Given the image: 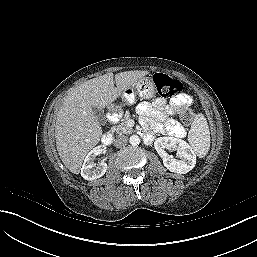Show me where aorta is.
<instances>
[{"mask_svg": "<svg viewBox=\"0 0 257 257\" xmlns=\"http://www.w3.org/2000/svg\"><path fill=\"white\" fill-rule=\"evenodd\" d=\"M129 143L132 145V146H137L140 144V137L138 135H132L130 136L129 138Z\"/></svg>", "mask_w": 257, "mask_h": 257, "instance_id": "obj_1", "label": "aorta"}]
</instances>
